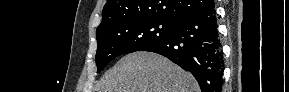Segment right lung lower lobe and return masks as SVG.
<instances>
[{"label":"right lung lower lobe","mask_w":289,"mask_h":92,"mask_svg":"<svg viewBox=\"0 0 289 92\" xmlns=\"http://www.w3.org/2000/svg\"><path fill=\"white\" fill-rule=\"evenodd\" d=\"M214 8L179 19L168 39L140 51L161 54L190 71L202 92H220L224 63Z\"/></svg>","instance_id":"right-lung-lower-lobe-1"}]
</instances>
